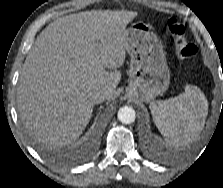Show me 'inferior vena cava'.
Wrapping results in <instances>:
<instances>
[{
    "label": "inferior vena cava",
    "mask_w": 223,
    "mask_h": 188,
    "mask_svg": "<svg viewBox=\"0 0 223 188\" xmlns=\"http://www.w3.org/2000/svg\"><path fill=\"white\" fill-rule=\"evenodd\" d=\"M108 98V93L105 90H95L91 92V100L94 104H99Z\"/></svg>",
    "instance_id": "inferior-vena-cava-1"
}]
</instances>
